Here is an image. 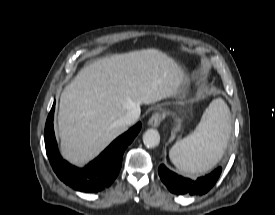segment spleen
Masks as SVG:
<instances>
[{
  "instance_id": "1",
  "label": "spleen",
  "mask_w": 275,
  "mask_h": 215,
  "mask_svg": "<svg viewBox=\"0 0 275 215\" xmlns=\"http://www.w3.org/2000/svg\"><path fill=\"white\" fill-rule=\"evenodd\" d=\"M231 131L230 111L222 99L213 100L192 134L170 149L172 163L187 173H203L222 158Z\"/></svg>"
}]
</instances>
